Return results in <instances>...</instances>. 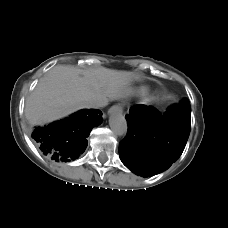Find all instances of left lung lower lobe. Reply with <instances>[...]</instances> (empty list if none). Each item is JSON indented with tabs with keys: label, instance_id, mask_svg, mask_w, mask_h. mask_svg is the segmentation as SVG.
<instances>
[{
	"label": "left lung lower lobe",
	"instance_id": "1",
	"mask_svg": "<svg viewBox=\"0 0 228 228\" xmlns=\"http://www.w3.org/2000/svg\"><path fill=\"white\" fill-rule=\"evenodd\" d=\"M129 113L127 136L119 144L123 164L144 177L169 168L182 154L190 134L189 100L164 114L145 105L134 106Z\"/></svg>",
	"mask_w": 228,
	"mask_h": 228
}]
</instances>
